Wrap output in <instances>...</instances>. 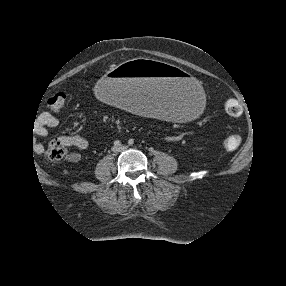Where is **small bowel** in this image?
Listing matches in <instances>:
<instances>
[{
  "instance_id": "1",
  "label": "small bowel",
  "mask_w": 286,
  "mask_h": 286,
  "mask_svg": "<svg viewBox=\"0 0 286 286\" xmlns=\"http://www.w3.org/2000/svg\"><path fill=\"white\" fill-rule=\"evenodd\" d=\"M58 124V119L50 113L44 112L41 115L40 124L36 128V132L40 137L48 136V129L54 128ZM183 137L182 133L172 134L167 137L168 142H178ZM60 142L71 149L85 150L89 147V142L86 138L79 135H67L59 138ZM36 150L38 152L42 151V145L37 144ZM79 158L78 154H72L70 159L77 160Z\"/></svg>"
}]
</instances>
